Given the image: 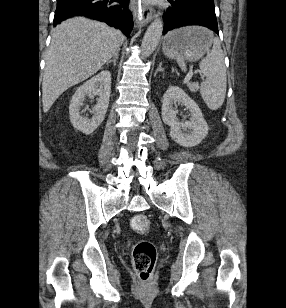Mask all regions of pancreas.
Returning a JSON list of instances; mask_svg holds the SVG:
<instances>
[{
    "label": "pancreas",
    "instance_id": "obj_1",
    "mask_svg": "<svg viewBox=\"0 0 286 308\" xmlns=\"http://www.w3.org/2000/svg\"><path fill=\"white\" fill-rule=\"evenodd\" d=\"M190 90L192 91V92H195L196 90H197V87L196 86H194V85H190Z\"/></svg>",
    "mask_w": 286,
    "mask_h": 308
}]
</instances>
